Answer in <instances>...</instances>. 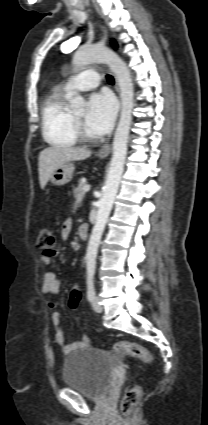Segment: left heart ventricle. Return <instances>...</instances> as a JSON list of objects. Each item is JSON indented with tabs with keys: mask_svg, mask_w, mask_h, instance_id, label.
Listing matches in <instances>:
<instances>
[{
	"mask_svg": "<svg viewBox=\"0 0 208 425\" xmlns=\"http://www.w3.org/2000/svg\"><path fill=\"white\" fill-rule=\"evenodd\" d=\"M74 115H75V117H76V118H78L81 122H83V119H84V116H85V112H78V113H75ZM82 125H83V123H82ZM84 130H85V132H86L88 135L92 136V134H90V133L86 130V128H85Z\"/></svg>",
	"mask_w": 208,
	"mask_h": 425,
	"instance_id": "b2bd125f",
	"label": "left heart ventricle"
}]
</instances>
